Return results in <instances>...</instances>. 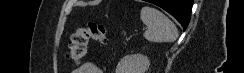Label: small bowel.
<instances>
[{"mask_svg":"<svg viewBox=\"0 0 244 73\" xmlns=\"http://www.w3.org/2000/svg\"><path fill=\"white\" fill-rule=\"evenodd\" d=\"M73 73H103V71L92 62H85Z\"/></svg>","mask_w":244,"mask_h":73,"instance_id":"c3829d8e","label":"small bowel"}]
</instances>
